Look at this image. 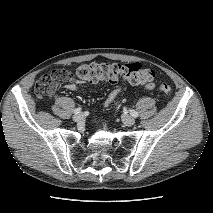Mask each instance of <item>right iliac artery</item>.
<instances>
[{"label": "right iliac artery", "mask_w": 213, "mask_h": 213, "mask_svg": "<svg viewBox=\"0 0 213 213\" xmlns=\"http://www.w3.org/2000/svg\"><path fill=\"white\" fill-rule=\"evenodd\" d=\"M81 110H82L81 108H76V109H74V113L79 114L81 112Z\"/></svg>", "instance_id": "obj_1"}]
</instances>
